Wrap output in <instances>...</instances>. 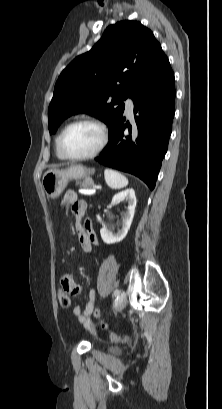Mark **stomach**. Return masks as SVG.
<instances>
[{
	"label": "stomach",
	"instance_id": "1",
	"mask_svg": "<svg viewBox=\"0 0 222 409\" xmlns=\"http://www.w3.org/2000/svg\"><path fill=\"white\" fill-rule=\"evenodd\" d=\"M95 172L81 164H73L65 169H49L42 177V188L47 198H57L71 180L79 181Z\"/></svg>",
	"mask_w": 222,
	"mask_h": 409
}]
</instances>
